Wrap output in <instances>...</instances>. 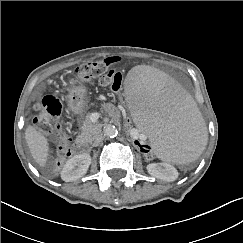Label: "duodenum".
I'll return each mask as SVG.
<instances>
[{
	"label": "duodenum",
	"instance_id": "410a0bca",
	"mask_svg": "<svg viewBox=\"0 0 243 243\" xmlns=\"http://www.w3.org/2000/svg\"><path fill=\"white\" fill-rule=\"evenodd\" d=\"M73 149L76 153H85L88 150V144L84 140H77L74 145Z\"/></svg>",
	"mask_w": 243,
	"mask_h": 243
}]
</instances>
